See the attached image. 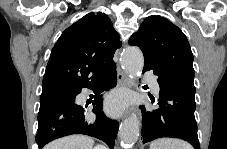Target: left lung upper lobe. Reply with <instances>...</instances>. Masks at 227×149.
I'll return each instance as SVG.
<instances>
[{
	"instance_id": "obj_1",
	"label": "left lung upper lobe",
	"mask_w": 227,
	"mask_h": 149,
	"mask_svg": "<svg viewBox=\"0 0 227 149\" xmlns=\"http://www.w3.org/2000/svg\"><path fill=\"white\" fill-rule=\"evenodd\" d=\"M145 62L156 65L167 77L195 93L193 54L184 33L166 18L149 16L129 39Z\"/></svg>"
}]
</instances>
